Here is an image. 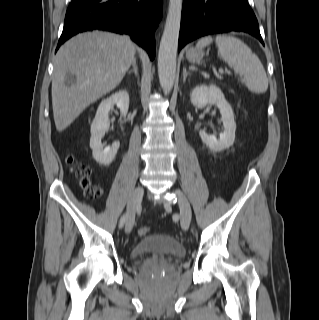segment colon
Returning <instances> with one entry per match:
<instances>
[{"instance_id": "colon-1", "label": "colon", "mask_w": 319, "mask_h": 320, "mask_svg": "<svg viewBox=\"0 0 319 320\" xmlns=\"http://www.w3.org/2000/svg\"><path fill=\"white\" fill-rule=\"evenodd\" d=\"M69 163L74 165L76 176L85 189L86 197L91 200H99L102 197V189L92 182V169L88 165L81 164L74 159H71ZM138 233L141 236L147 235L149 228L140 227Z\"/></svg>"}]
</instances>
